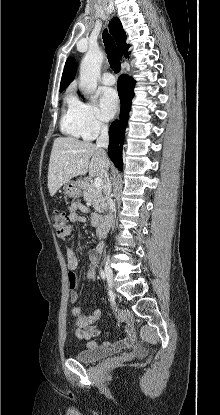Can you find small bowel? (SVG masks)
I'll return each instance as SVG.
<instances>
[{"label": "small bowel", "instance_id": "1", "mask_svg": "<svg viewBox=\"0 0 220 415\" xmlns=\"http://www.w3.org/2000/svg\"><path fill=\"white\" fill-rule=\"evenodd\" d=\"M88 209L80 204V203H72L69 206L70 212V224L64 230L62 235H58V237L63 241L67 242L68 237L72 233V224L75 223H85L87 219L81 215V213L87 212ZM101 221V216L95 214L91 219L90 223L92 225H97ZM105 244L103 241H100L96 249H91L87 252V258L89 261V266L87 269V277L89 279H95V269L96 265L100 259V256L104 252ZM65 254L67 258V266H68V281L69 286L71 289V303L77 305L80 301V293L77 289L78 285V276L76 271L80 265V259L74 249L71 247H66ZM72 315L74 317L73 322L76 327V336L79 339L90 340L95 338L99 335V329L96 327L95 323L101 317V311L99 309H95L89 314H83L82 309L78 306L73 307ZM115 316L124 323V332L125 336L114 343L105 342L103 346L111 351H116L117 349L127 348L130 347L134 340V333L133 328L129 324L127 315L124 312L117 311ZM87 346L90 347H97L98 344L95 341L88 342Z\"/></svg>", "mask_w": 220, "mask_h": 415}]
</instances>
